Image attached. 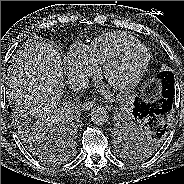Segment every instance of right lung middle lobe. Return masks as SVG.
I'll return each instance as SVG.
<instances>
[{
    "instance_id": "obj_1",
    "label": "right lung middle lobe",
    "mask_w": 184,
    "mask_h": 184,
    "mask_svg": "<svg viewBox=\"0 0 184 184\" xmlns=\"http://www.w3.org/2000/svg\"><path fill=\"white\" fill-rule=\"evenodd\" d=\"M14 112L15 123L20 132L22 139L28 145L30 150L43 161H48L49 156L44 154L40 149L41 139L46 128L44 125H34L30 116L23 109Z\"/></svg>"
}]
</instances>
